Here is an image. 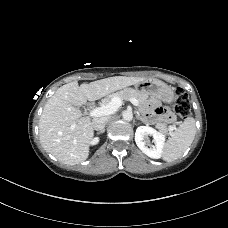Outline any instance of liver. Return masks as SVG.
Segmentation results:
<instances>
[{
    "instance_id": "obj_1",
    "label": "liver",
    "mask_w": 228,
    "mask_h": 228,
    "mask_svg": "<svg viewBox=\"0 0 228 228\" xmlns=\"http://www.w3.org/2000/svg\"><path fill=\"white\" fill-rule=\"evenodd\" d=\"M144 80L139 77L115 76L80 86L75 81L58 88L46 103L39 119L42 147L67 165L85 161L89 156L94 128L92 120L82 117L77 107Z\"/></svg>"
}]
</instances>
